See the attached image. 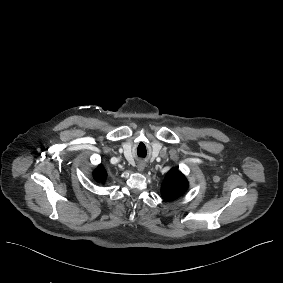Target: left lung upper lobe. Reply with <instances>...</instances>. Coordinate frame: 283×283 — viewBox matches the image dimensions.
<instances>
[{
	"label": "left lung upper lobe",
	"mask_w": 283,
	"mask_h": 283,
	"mask_svg": "<svg viewBox=\"0 0 283 283\" xmlns=\"http://www.w3.org/2000/svg\"><path fill=\"white\" fill-rule=\"evenodd\" d=\"M188 189V181L176 168H172L165 176L161 186L162 197L167 200H175L182 196Z\"/></svg>",
	"instance_id": "left-lung-upper-lobe-1"
}]
</instances>
